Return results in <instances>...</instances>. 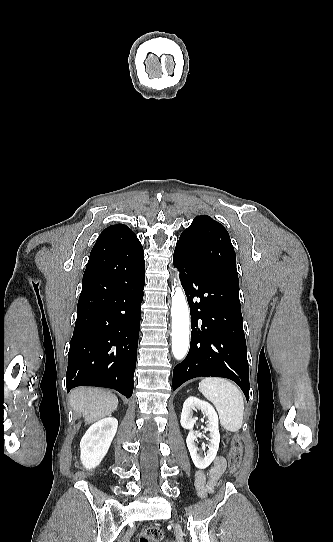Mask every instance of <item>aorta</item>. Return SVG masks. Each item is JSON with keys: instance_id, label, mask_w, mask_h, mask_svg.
Returning <instances> with one entry per match:
<instances>
[{"instance_id": "1", "label": "aorta", "mask_w": 333, "mask_h": 542, "mask_svg": "<svg viewBox=\"0 0 333 542\" xmlns=\"http://www.w3.org/2000/svg\"><path fill=\"white\" fill-rule=\"evenodd\" d=\"M172 316V354L175 360H184L189 350V310L184 292L180 286L175 288L171 306Z\"/></svg>"}]
</instances>
